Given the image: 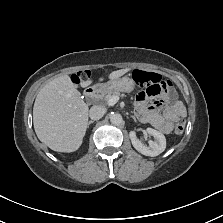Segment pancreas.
Returning <instances> with one entry per match:
<instances>
[{
  "mask_svg": "<svg viewBox=\"0 0 223 223\" xmlns=\"http://www.w3.org/2000/svg\"><path fill=\"white\" fill-rule=\"evenodd\" d=\"M112 96H120V93H114V94H110V95H105L104 96V101L105 102H108V100L112 97ZM121 96H123V95H121Z\"/></svg>",
  "mask_w": 223,
  "mask_h": 223,
  "instance_id": "1",
  "label": "pancreas"
}]
</instances>
